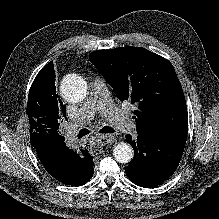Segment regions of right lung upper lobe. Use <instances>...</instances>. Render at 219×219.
I'll return each mask as SVG.
<instances>
[{
	"label": "right lung upper lobe",
	"instance_id": "1",
	"mask_svg": "<svg viewBox=\"0 0 219 219\" xmlns=\"http://www.w3.org/2000/svg\"><path fill=\"white\" fill-rule=\"evenodd\" d=\"M36 90V92H34ZM37 98V101L40 103H47L50 104L51 102L58 103L59 107V119L61 123L63 120H67L66 118V106L63 105L62 101L60 100L58 94H56V87H55V71L53 62L47 64L36 76L35 80L32 83V86L29 91V99ZM45 101V102H44ZM30 132V142L32 146L36 144V142L43 138H56L64 140L63 136L55 137L49 134H46L40 130H36L32 128L29 130ZM61 163V162H60ZM60 163L56 166L59 167V171L63 170L62 165Z\"/></svg>",
	"mask_w": 219,
	"mask_h": 219
}]
</instances>
